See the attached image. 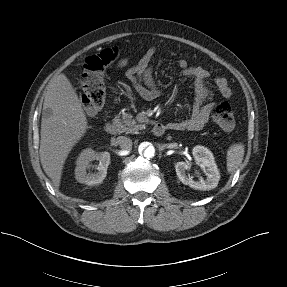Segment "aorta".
Instances as JSON below:
<instances>
[{"mask_svg":"<svg viewBox=\"0 0 287 287\" xmlns=\"http://www.w3.org/2000/svg\"><path fill=\"white\" fill-rule=\"evenodd\" d=\"M138 151L142 156L147 159H150L155 155V148L153 144L147 141L140 143Z\"/></svg>","mask_w":287,"mask_h":287,"instance_id":"aorta-1","label":"aorta"}]
</instances>
